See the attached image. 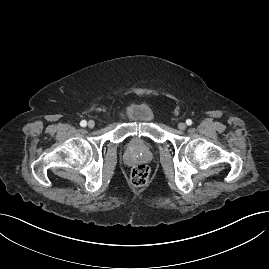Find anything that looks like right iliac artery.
<instances>
[{
  "label": "right iliac artery",
  "mask_w": 269,
  "mask_h": 269,
  "mask_svg": "<svg viewBox=\"0 0 269 269\" xmlns=\"http://www.w3.org/2000/svg\"><path fill=\"white\" fill-rule=\"evenodd\" d=\"M86 125H87L86 120H82V121L80 122V126L85 127Z\"/></svg>",
  "instance_id": "1"
}]
</instances>
